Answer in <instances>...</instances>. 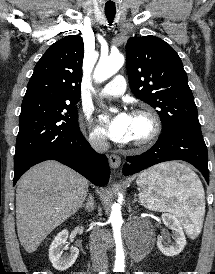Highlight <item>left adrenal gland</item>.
I'll list each match as a JSON object with an SVG mask.
<instances>
[{
	"instance_id": "obj_1",
	"label": "left adrenal gland",
	"mask_w": 215,
	"mask_h": 274,
	"mask_svg": "<svg viewBox=\"0 0 215 274\" xmlns=\"http://www.w3.org/2000/svg\"><path fill=\"white\" fill-rule=\"evenodd\" d=\"M136 201H138V200H137V196L135 195V198H134V200H133V203H135Z\"/></svg>"
}]
</instances>
